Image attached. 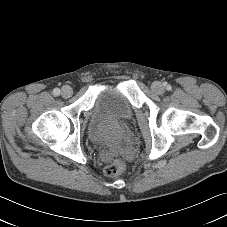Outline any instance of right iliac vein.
<instances>
[{
	"label": "right iliac vein",
	"instance_id": "63e3f726",
	"mask_svg": "<svg viewBox=\"0 0 227 227\" xmlns=\"http://www.w3.org/2000/svg\"><path fill=\"white\" fill-rule=\"evenodd\" d=\"M73 93V90L70 86L68 85H65L62 87V90H61V95L64 97V98H69Z\"/></svg>",
	"mask_w": 227,
	"mask_h": 227
}]
</instances>
